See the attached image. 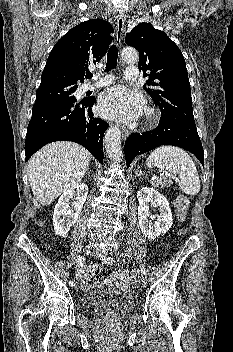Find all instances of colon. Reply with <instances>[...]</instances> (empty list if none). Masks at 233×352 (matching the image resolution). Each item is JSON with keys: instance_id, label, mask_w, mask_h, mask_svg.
Returning <instances> with one entry per match:
<instances>
[{"instance_id": "colon-1", "label": "colon", "mask_w": 233, "mask_h": 352, "mask_svg": "<svg viewBox=\"0 0 233 352\" xmlns=\"http://www.w3.org/2000/svg\"><path fill=\"white\" fill-rule=\"evenodd\" d=\"M175 207L177 210L178 218L182 222L186 218L187 210L189 207V199L185 195H179L175 200ZM101 268L99 265L92 264L88 266L85 274V282H92L100 277Z\"/></svg>"}]
</instances>
